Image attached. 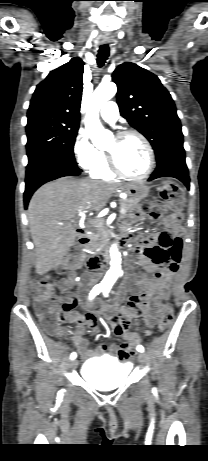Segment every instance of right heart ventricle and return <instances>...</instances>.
Masks as SVG:
<instances>
[{
  "instance_id": "e07e8e85",
  "label": "right heart ventricle",
  "mask_w": 208,
  "mask_h": 461,
  "mask_svg": "<svg viewBox=\"0 0 208 461\" xmlns=\"http://www.w3.org/2000/svg\"><path fill=\"white\" fill-rule=\"evenodd\" d=\"M90 175L92 178L100 180H113L115 174H113L108 166L106 155L100 152L97 163L90 169Z\"/></svg>"
}]
</instances>
